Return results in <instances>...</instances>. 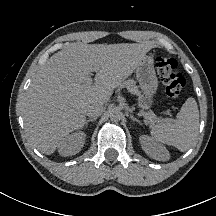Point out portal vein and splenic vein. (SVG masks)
Returning a JSON list of instances; mask_svg holds the SVG:
<instances>
[{
	"label": "portal vein and splenic vein",
	"mask_w": 216,
	"mask_h": 216,
	"mask_svg": "<svg viewBox=\"0 0 216 216\" xmlns=\"http://www.w3.org/2000/svg\"><path fill=\"white\" fill-rule=\"evenodd\" d=\"M93 71H97V69H94ZM92 82H93V80H92V78L90 77V78H87L86 79V81H85V83H84V86H88V85H91L92 84ZM141 115V114H140Z\"/></svg>",
	"instance_id": "18ae733b"
}]
</instances>
